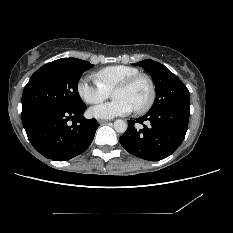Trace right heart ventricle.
Returning a JSON list of instances; mask_svg holds the SVG:
<instances>
[{
	"mask_svg": "<svg viewBox=\"0 0 233 233\" xmlns=\"http://www.w3.org/2000/svg\"><path fill=\"white\" fill-rule=\"evenodd\" d=\"M139 73L136 67L128 65H113L102 68L94 74V79L107 91L131 75Z\"/></svg>",
	"mask_w": 233,
	"mask_h": 233,
	"instance_id": "right-heart-ventricle-1",
	"label": "right heart ventricle"
}]
</instances>
